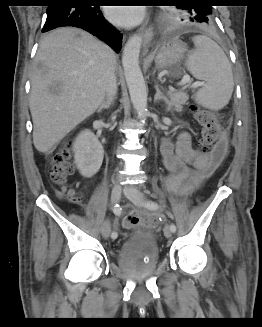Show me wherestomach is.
I'll list each match as a JSON object with an SVG mask.
<instances>
[{"label": "stomach", "instance_id": "0dacf381", "mask_svg": "<svg viewBox=\"0 0 262 327\" xmlns=\"http://www.w3.org/2000/svg\"><path fill=\"white\" fill-rule=\"evenodd\" d=\"M186 53L185 46L180 41H170L162 45L155 57L156 67L160 70L174 69L183 60Z\"/></svg>", "mask_w": 262, "mask_h": 327}]
</instances>
